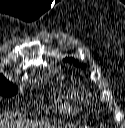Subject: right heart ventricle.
<instances>
[{"instance_id": "obj_1", "label": "right heart ventricle", "mask_w": 125, "mask_h": 128, "mask_svg": "<svg viewBox=\"0 0 125 128\" xmlns=\"http://www.w3.org/2000/svg\"><path fill=\"white\" fill-rule=\"evenodd\" d=\"M70 95L73 96V95H75V93H71ZM62 108L65 111H72V108H71V106L68 103H64V105L62 106Z\"/></svg>"}]
</instances>
